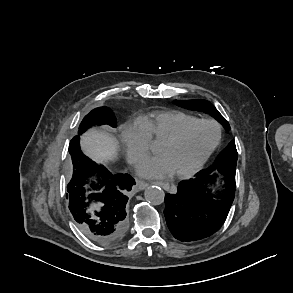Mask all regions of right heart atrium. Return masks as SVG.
<instances>
[{
	"mask_svg": "<svg viewBox=\"0 0 293 293\" xmlns=\"http://www.w3.org/2000/svg\"><path fill=\"white\" fill-rule=\"evenodd\" d=\"M121 141L132 164H137L150 151L151 138L139 123L126 125L121 131Z\"/></svg>",
	"mask_w": 293,
	"mask_h": 293,
	"instance_id": "d8ad5b80",
	"label": "right heart atrium"
}]
</instances>
